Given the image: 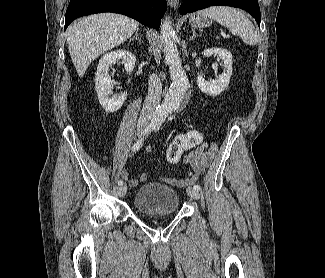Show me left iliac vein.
I'll return each instance as SVG.
<instances>
[{"instance_id": "4c4485c4", "label": "left iliac vein", "mask_w": 325, "mask_h": 278, "mask_svg": "<svg viewBox=\"0 0 325 278\" xmlns=\"http://www.w3.org/2000/svg\"><path fill=\"white\" fill-rule=\"evenodd\" d=\"M187 194L189 197L195 200L200 199V192L198 190H195L194 188H187Z\"/></svg>"}]
</instances>
